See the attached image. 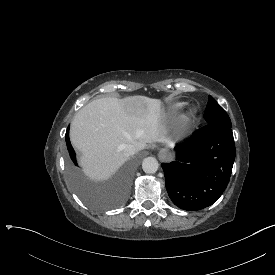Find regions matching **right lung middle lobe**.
I'll return each instance as SVG.
<instances>
[{
	"mask_svg": "<svg viewBox=\"0 0 275 275\" xmlns=\"http://www.w3.org/2000/svg\"><path fill=\"white\" fill-rule=\"evenodd\" d=\"M65 162L64 170L69 177L71 186L75 193L85 203V206L92 211L99 209H112L127 200V192L130 190V183L134 180L140 161L149 156L146 148L134 151L131 154L129 163H122L113 170V177L110 182L98 181L94 175L82 170L77 163L76 155L69 140V127L66 132V143L64 144Z\"/></svg>",
	"mask_w": 275,
	"mask_h": 275,
	"instance_id": "dd1d6c3e",
	"label": "right lung middle lobe"
}]
</instances>
